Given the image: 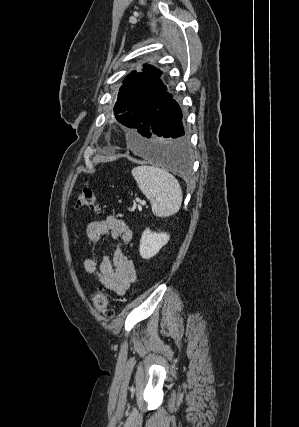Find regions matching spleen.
<instances>
[{"instance_id": "1", "label": "spleen", "mask_w": 299, "mask_h": 427, "mask_svg": "<svg viewBox=\"0 0 299 427\" xmlns=\"http://www.w3.org/2000/svg\"><path fill=\"white\" fill-rule=\"evenodd\" d=\"M132 176L150 201L154 215L168 217L178 212L182 190L172 174L156 166L142 165L133 168Z\"/></svg>"}]
</instances>
